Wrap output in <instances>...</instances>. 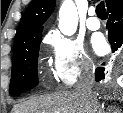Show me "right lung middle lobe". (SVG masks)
<instances>
[{"label":"right lung middle lobe","instance_id":"dd1d6c3e","mask_svg":"<svg viewBox=\"0 0 123 113\" xmlns=\"http://www.w3.org/2000/svg\"><path fill=\"white\" fill-rule=\"evenodd\" d=\"M41 36L26 41L14 50L9 87L11 96L19 95L38 84L37 61Z\"/></svg>","mask_w":123,"mask_h":113}]
</instances>
